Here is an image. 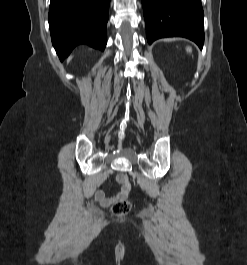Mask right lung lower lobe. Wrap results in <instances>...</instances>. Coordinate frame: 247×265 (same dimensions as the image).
Instances as JSON below:
<instances>
[{"label":"right lung lower lobe","mask_w":247,"mask_h":265,"mask_svg":"<svg viewBox=\"0 0 247 265\" xmlns=\"http://www.w3.org/2000/svg\"><path fill=\"white\" fill-rule=\"evenodd\" d=\"M109 3L110 0H51L49 27L61 61L79 44L105 49Z\"/></svg>","instance_id":"98d812e1"}]
</instances>
